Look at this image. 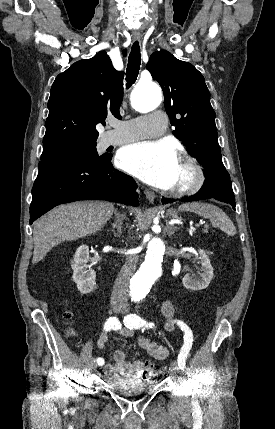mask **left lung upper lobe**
<instances>
[{
    "instance_id": "1",
    "label": "left lung upper lobe",
    "mask_w": 275,
    "mask_h": 429,
    "mask_svg": "<svg viewBox=\"0 0 275 429\" xmlns=\"http://www.w3.org/2000/svg\"><path fill=\"white\" fill-rule=\"evenodd\" d=\"M146 68L162 87L173 134L203 165L204 176L230 178L222 163L215 112L202 74L165 50L154 52Z\"/></svg>"
}]
</instances>
